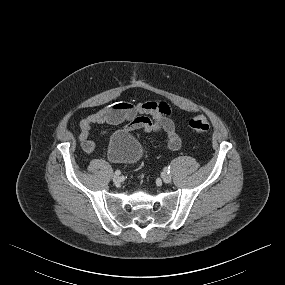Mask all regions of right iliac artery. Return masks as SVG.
<instances>
[{
	"mask_svg": "<svg viewBox=\"0 0 285 285\" xmlns=\"http://www.w3.org/2000/svg\"><path fill=\"white\" fill-rule=\"evenodd\" d=\"M121 174V171L120 170H116L115 171V175H120Z\"/></svg>",
	"mask_w": 285,
	"mask_h": 285,
	"instance_id": "right-iliac-artery-1",
	"label": "right iliac artery"
}]
</instances>
